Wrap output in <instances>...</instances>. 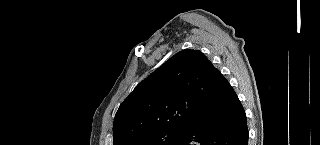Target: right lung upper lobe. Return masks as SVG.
<instances>
[{"mask_svg": "<svg viewBox=\"0 0 320 145\" xmlns=\"http://www.w3.org/2000/svg\"><path fill=\"white\" fill-rule=\"evenodd\" d=\"M224 76L199 50H182L141 81L120 105L114 145H130L162 129L185 128L209 115Z\"/></svg>", "mask_w": 320, "mask_h": 145, "instance_id": "obj_1", "label": "right lung upper lobe"}]
</instances>
